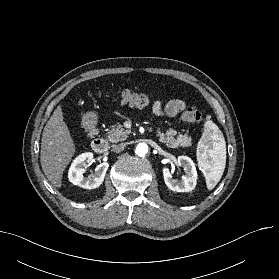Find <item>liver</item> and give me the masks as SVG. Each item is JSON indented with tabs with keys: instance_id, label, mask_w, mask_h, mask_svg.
Returning <instances> with one entry per match:
<instances>
[{
	"instance_id": "liver-1",
	"label": "liver",
	"mask_w": 279,
	"mask_h": 279,
	"mask_svg": "<svg viewBox=\"0 0 279 279\" xmlns=\"http://www.w3.org/2000/svg\"><path fill=\"white\" fill-rule=\"evenodd\" d=\"M74 153L75 145L59 105L44 127L40 152L42 170L55 187L62 186L63 172Z\"/></svg>"
}]
</instances>
